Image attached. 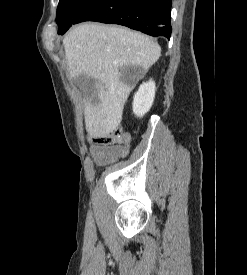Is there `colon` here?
I'll list each match as a JSON object with an SVG mask.
<instances>
[{
    "mask_svg": "<svg viewBox=\"0 0 247 275\" xmlns=\"http://www.w3.org/2000/svg\"><path fill=\"white\" fill-rule=\"evenodd\" d=\"M91 141L94 144L105 146L113 144L127 145L129 142V136L123 130L115 129L106 135L94 137Z\"/></svg>",
    "mask_w": 247,
    "mask_h": 275,
    "instance_id": "obj_1",
    "label": "colon"
}]
</instances>
